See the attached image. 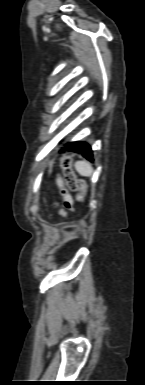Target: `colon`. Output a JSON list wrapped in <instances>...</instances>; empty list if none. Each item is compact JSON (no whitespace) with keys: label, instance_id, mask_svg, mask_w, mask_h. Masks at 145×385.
Listing matches in <instances>:
<instances>
[{"label":"colon","instance_id":"5ec220e1","mask_svg":"<svg viewBox=\"0 0 145 385\" xmlns=\"http://www.w3.org/2000/svg\"><path fill=\"white\" fill-rule=\"evenodd\" d=\"M61 165L62 174L56 175V184L59 189L60 195L63 198L65 208L70 211H73L74 199L70 192L76 193V200L82 203L87 193V185L74 173L71 164V158L69 156H64L62 158Z\"/></svg>","mask_w":145,"mask_h":385}]
</instances>
